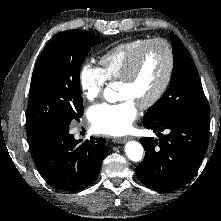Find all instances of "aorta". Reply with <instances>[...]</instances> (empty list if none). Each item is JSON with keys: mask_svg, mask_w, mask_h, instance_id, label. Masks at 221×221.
Returning <instances> with one entry per match:
<instances>
[{"mask_svg": "<svg viewBox=\"0 0 221 221\" xmlns=\"http://www.w3.org/2000/svg\"><path fill=\"white\" fill-rule=\"evenodd\" d=\"M104 95L106 98L108 97L106 91ZM125 153L131 161L139 162L143 157L144 149L139 142L129 141L125 145Z\"/></svg>", "mask_w": 221, "mask_h": 221, "instance_id": "762f6f07", "label": "aorta"}]
</instances>
